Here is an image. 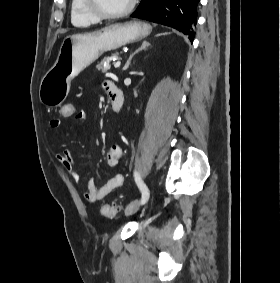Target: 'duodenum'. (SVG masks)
Segmentation results:
<instances>
[{
	"mask_svg": "<svg viewBox=\"0 0 280 283\" xmlns=\"http://www.w3.org/2000/svg\"><path fill=\"white\" fill-rule=\"evenodd\" d=\"M107 96L113 112H120L124 101L123 92L113 82L107 85Z\"/></svg>",
	"mask_w": 280,
	"mask_h": 283,
	"instance_id": "duodenum-1",
	"label": "duodenum"
}]
</instances>
